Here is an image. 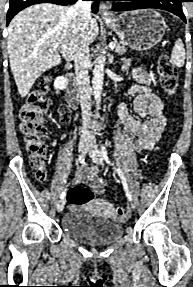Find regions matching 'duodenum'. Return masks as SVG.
<instances>
[{"mask_svg": "<svg viewBox=\"0 0 193 287\" xmlns=\"http://www.w3.org/2000/svg\"><path fill=\"white\" fill-rule=\"evenodd\" d=\"M72 64L71 62L67 63L68 77H67V86H66V101L68 105L74 108L78 103L79 91L77 84L74 80L73 74L71 72Z\"/></svg>", "mask_w": 193, "mask_h": 287, "instance_id": "1", "label": "duodenum"}]
</instances>
